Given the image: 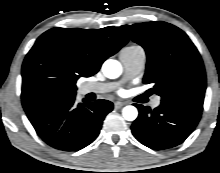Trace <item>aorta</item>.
I'll return each mask as SVG.
<instances>
[{
    "label": "aorta",
    "instance_id": "762f6f07",
    "mask_svg": "<svg viewBox=\"0 0 220 173\" xmlns=\"http://www.w3.org/2000/svg\"><path fill=\"white\" fill-rule=\"evenodd\" d=\"M103 74L109 79H115L122 73V66L119 61L108 59L102 66ZM123 117L127 121H134L138 116V110L132 105H128L122 110Z\"/></svg>",
    "mask_w": 220,
    "mask_h": 173
}]
</instances>
